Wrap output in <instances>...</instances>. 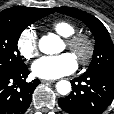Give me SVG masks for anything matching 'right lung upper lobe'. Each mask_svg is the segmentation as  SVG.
Wrapping results in <instances>:
<instances>
[{"label":"right lung upper lobe","instance_id":"1","mask_svg":"<svg viewBox=\"0 0 114 114\" xmlns=\"http://www.w3.org/2000/svg\"><path fill=\"white\" fill-rule=\"evenodd\" d=\"M43 12H49L50 14L54 13L52 9L46 8H32V7H24V6H15L0 12L1 17H21L24 15H35Z\"/></svg>","mask_w":114,"mask_h":114}]
</instances>
